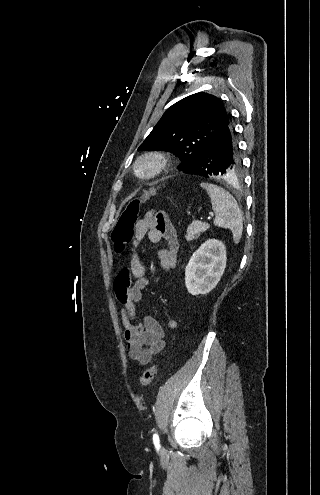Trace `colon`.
Returning <instances> with one entry per match:
<instances>
[{"label": "colon", "instance_id": "5ec220e1", "mask_svg": "<svg viewBox=\"0 0 320 495\" xmlns=\"http://www.w3.org/2000/svg\"><path fill=\"white\" fill-rule=\"evenodd\" d=\"M153 192H146L139 196L131 198L124 210L121 212L118 221L111 234L114 249L122 252L126 245L131 241L134 226L142 205L149 199ZM157 364L147 368L140 377V386L147 387L152 382L157 372Z\"/></svg>", "mask_w": 320, "mask_h": 495}]
</instances>
